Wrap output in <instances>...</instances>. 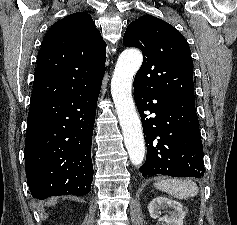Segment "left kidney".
<instances>
[{
  "mask_svg": "<svg viewBox=\"0 0 237 225\" xmlns=\"http://www.w3.org/2000/svg\"><path fill=\"white\" fill-rule=\"evenodd\" d=\"M168 208L173 210L168 211ZM148 209L150 216L154 219H158L159 224L183 225L185 211L182 204L175 200H170L166 197L159 196L150 202ZM161 210H167L168 214L160 217Z\"/></svg>",
  "mask_w": 237,
  "mask_h": 225,
  "instance_id": "1",
  "label": "left kidney"
}]
</instances>
